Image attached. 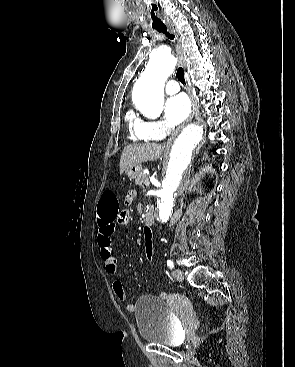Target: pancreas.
Instances as JSON below:
<instances>
[{
  "mask_svg": "<svg viewBox=\"0 0 295 367\" xmlns=\"http://www.w3.org/2000/svg\"><path fill=\"white\" fill-rule=\"evenodd\" d=\"M148 179V176L144 173H141L137 178H136V184L140 187H143V185L145 184V181Z\"/></svg>",
  "mask_w": 295,
  "mask_h": 367,
  "instance_id": "obj_1",
  "label": "pancreas"
}]
</instances>
